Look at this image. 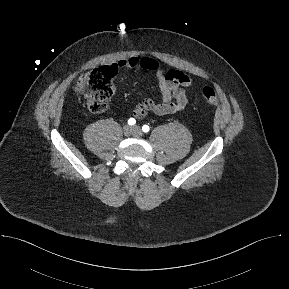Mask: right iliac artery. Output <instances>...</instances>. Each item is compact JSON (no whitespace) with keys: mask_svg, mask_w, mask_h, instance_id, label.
I'll list each match as a JSON object with an SVG mask.
<instances>
[{"mask_svg":"<svg viewBox=\"0 0 289 289\" xmlns=\"http://www.w3.org/2000/svg\"><path fill=\"white\" fill-rule=\"evenodd\" d=\"M136 123V120L134 119V118H130L129 120H128V124L129 125H134Z\"/></svg>","mask_w":289,"mask_h":289,"instance_id":"obj_1","label":"right iliac artery"}]
</instances>
